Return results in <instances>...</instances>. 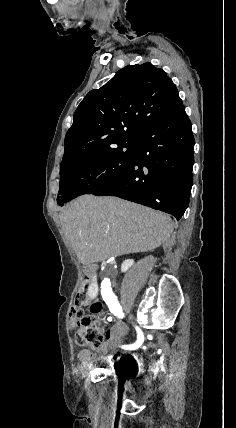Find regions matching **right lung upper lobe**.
Masks as SVG:
<instances>
[{
	"instance_id": "cb5924a9",
	"label": "right lung upper lobe",
	"mask_w": 236,
	"mask_h": 428,
	"mask_svg": "<svg viewBox=\"0 0 236 428\" xmlns=\"http://www.w3.org/2000/svg\"><path fill=\"white\" fill-rule=\"evenodd\" d=\"M181 105L178 90L162 69L149 62L124 67L106 85L90 91L77 107L65 136L60 168L117 142L135 140Z\"/></svg>"
}]
</instances>
